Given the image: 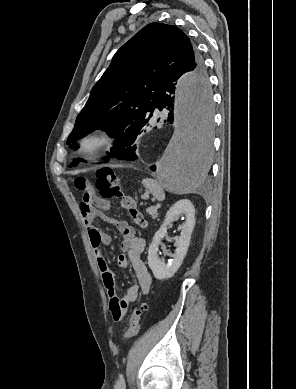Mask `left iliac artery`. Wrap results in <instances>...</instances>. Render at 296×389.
I'll return each instance as SVG.
<instances>
[{
  "instance_id": "44dca946",
  "label": "left iliac artery",
  "mask_w": 296,
  "mask_h": 389,
  "mask_svg": "<svg viewBox=\"0 0 296 389\" xmlns=\"http://www.w3.org/2000/svg\"><path fill=\"white\" fill-rule=\"evenodd\" d=\"M115 389H125V381L123 375L119 376Z\"/></svg>"
}]
</instances>
